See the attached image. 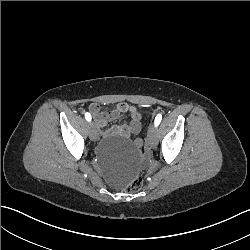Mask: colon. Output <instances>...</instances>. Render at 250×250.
I'll list each match as a JSON object with an SVG mask.
<instances>
[{"label": "colon", "mask_w": 250, "mask_h": 250, "mask_svg": "<svg viewBox=\"0 0 250 250\" xmlns=\"http://www.w3.org/2000/svg\"><path fill=\"white\" fill-rule=\"evenodd\" d=\"M132 118L135 120V121H140L142 118H143V115L140 113V112H133L132 113ZM134 144L136 147H141L142 144H143V141L141 138H136L135 141H134ZM144 183V177L142 175H137L135 177V179H133L130 184H125L123 186V192L125 194H130L131 192H135V191H138L142 184Z\"/></svg>", "instance_id": "5ec220e1"}]
</instances>
